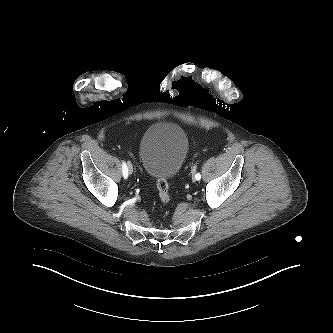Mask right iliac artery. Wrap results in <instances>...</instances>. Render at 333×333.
I'll list each match as a JSON object with an SVG mask.
<instances>
[{
  "label": "right iliac artery",
  "instance_id": "right-iliac-artery-1",
  "mask_svg": "<svg viewBox=\"0 0 333 333\" xmlns=\"http://www.w3.org/2000/svg\"><path fill=\"white\" fill-rule=\"evenodd\" d=\"M122 172H123L124 178H127L128 177V167L125 162L122 163Z\"/></svg>",
  "mask_w": 333,
  "mask_h": 333
}]
</instances>
